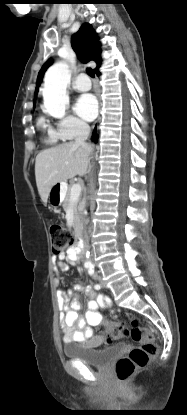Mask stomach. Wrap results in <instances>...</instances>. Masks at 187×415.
I'll use <instances>...</instances> for the list:
<instances>
[{"instance_id": "stomach-1", "label": "stomach", "mask_w": 187, "mask_h": 415, "mask_svg": "<svg viewBox=\"0 0 187 415\" xmlns=\"http://www.w3.org/2000/svg\"><path fill=\"white\" fill-rule=\"evenodd\" d=\"M63 187H64L63 183H57L50 190L49 203L54 208H57L62 202V188Z\"/></svg>"}]
</instances>
